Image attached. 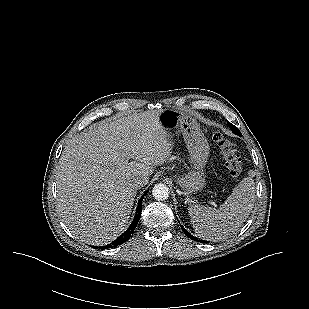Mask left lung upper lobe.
<instances>
[{"mask_svg": "<svg viewBox=\"0 0 309 309\" xmlns=\"http://www.w3.org/2000/svg\"><path fill=\"white\" fill-rule=\"evenodd\" d=\"M228 124H229V127L231 128V130L233 131L234 134L242 136L239 129L236 126H234L230 122H228Z\"/></svg>", "mask_w": 309, "mask_h": 309, "instance_id": "5c2ea615", "label": "left lung upper lobe"}]
</instances>
